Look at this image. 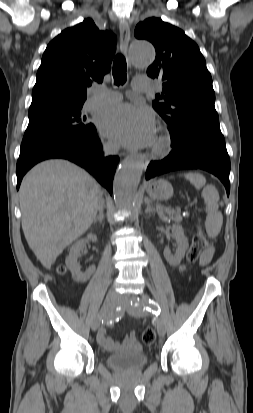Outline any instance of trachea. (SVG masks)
Segmentation results:
<instances>
[{
  "mask_svg": "<svg viewBox=\"0 0 253 413\" xmlns=\"http://www.w3.org/2000/svg\"><path fill=\"white\" fill-rule=\"evenodd\" d=\"M127 64L121 54H117L113 62V78L115 85H123L127 79Z\"/></svg>",
  "mask_w": 253,
  "mask_h": 413,
  "instance_id": "obj_1",
  "label": "trachea"
}]
</instances>
